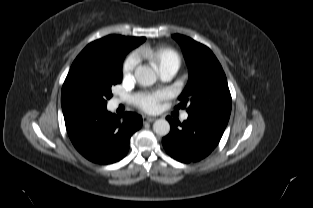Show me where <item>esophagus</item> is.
<instances>
[{"mask_svg":"<svg viewBox=\"0 0 313 208\" xmlns=\"http://www.w3.org/2000/svg\"><path fill=\"white\" fill-rule=\"evenodd\" d=\"M155 120H156V118H153V117H146V116L143 117L144 123H150V122H153Z\"/></svg>","mask_w":313,"mask_h":208,"instance_id":"34e87169","label":"esophagus"}]
</instances>
